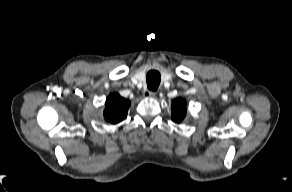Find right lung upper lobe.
<instances>
[{"mask_svg": "<svg viewBox=\"0 0 292 192\" xmlns=\"http://www.w3.org/2000/svg\"><path fill=\"white\" fill-rule=\"evenodd\" d=\"M129 107L128 100L122 98L118 93H112L106 100L104 118L112 124H117L127 117Z\"/></svg>", "mask_w": 292, "mask_h": 192, "instance_id": "right-lung-upper-lobe-1", "label": "right lung upper lobe"}]
</instances>
